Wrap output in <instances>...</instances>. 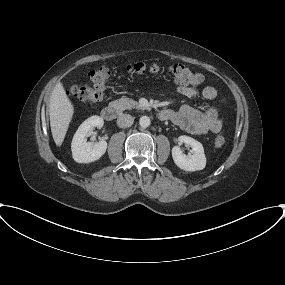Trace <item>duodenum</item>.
<instances>
[{"label":"duodenum","instance_id":"duodenum-1","mask_svg":"<svg viewBox=\"0 0 285 285\" xmlns=\"http://www.w3.org/2000/svg\"><path fill=\"white\" fill-rule=\"evenodd\" d=\"M120 114V108L117 104L111 103L102 109V117L107 121H112ZM167 113L165 110L160 111L159 118L165 120Z\"/></svg>","mask_w":285,"mask_h":285}]
</instances>
